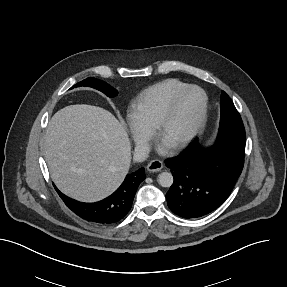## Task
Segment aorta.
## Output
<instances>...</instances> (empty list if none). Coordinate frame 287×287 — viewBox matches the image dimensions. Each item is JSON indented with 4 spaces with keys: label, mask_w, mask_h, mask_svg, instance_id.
I'll return each mask as SVG.
<instances>
[{
    "label": "aorta",
    "mask_w": 287,
    "mask_h": 287,
    "mask_svg": "<svg viewBox=\"0 0 287 287\" xmlns=\"http://www.w3.org/2000/svg\"><path fill=\"white\" fill-rule=\"evenodd\" d=\"M158 183L162 187H170L173 184V175L169 172H162L158 175Z\"/></svg>",
    "instance_id": "1"
}]
</instances>
